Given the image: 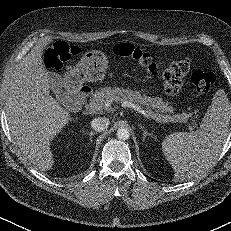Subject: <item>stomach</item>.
Segmentation results:
<instances>
[{
    "label": "stomach",
    "mask_w": 231,
    "mask_h": 231,
    "mask_svg": "<svg viewBox=\"0 0 231 231\" xmlns=\"http://www.w3.org/2000/svg\"><path fill=\"white\" fill-rule=\"evenodd\" d=\"M107 67L108 60L103 53L99 51L86 52L77 65L65 74L64 84L67 88H72L86 81H101Z\"/></svg>",
    "instance_id": "obj_1"
}]
</instances>
